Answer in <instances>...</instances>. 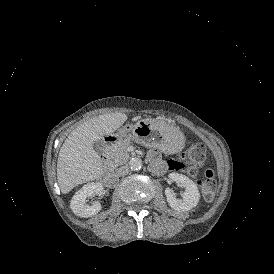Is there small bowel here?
I'll use <instances>...</instances> for the list:
<instances>
[{
    "label": "small bowel",
    "mask_w": 274,
    "mask_h": 274,
    "mask_svg": "<svg viewBox=\"0 0 274 274\" xmlns=\"http://www.w3.org/2000/svg\"><path fill=\"white\" fill-rule=\"evenodd\" d=\"M149 162L152 166V169L155 173L160 174L157 169L158 163L161 161V158L156 150H151L148 154Z\"/></svg>",
    "instance_id": "small-bowel-1"
}]
</instances>
